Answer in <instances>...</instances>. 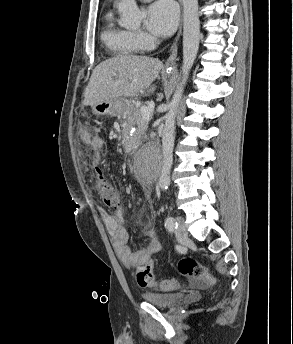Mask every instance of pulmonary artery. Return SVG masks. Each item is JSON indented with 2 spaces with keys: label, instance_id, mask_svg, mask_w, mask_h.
<instances>
[{
  "label": "pulmonary artery",
  "instance_id": "e3ab8cb5",
  "mask_svg": "<svg viewBox=\"0 0 293 344\" xmlns=\"http://www.w3.org/2000/svg\"><path fill=\"white\" fill-rule=\"evenodd\" d=\"M141 1L147 2V1H150V0H141Z\"/></svg>",
  "mask_w": 293,
  "mask_h": 344
}]
</instances>
